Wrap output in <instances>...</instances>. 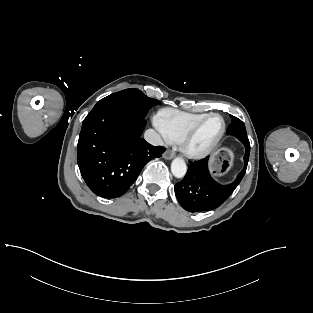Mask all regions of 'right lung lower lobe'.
<instances>
[{"instance_id": "1", "label": "right lung lower lobe", "mask_w": 313, "mask_h": 313, "mask_svg": "<svg viewBox=\"0 0 313 313\" xmlns=\"http://www.w3.org/2000/svg\"><path fill=\"white\" fill-rule=\"evenodd\" d=\"M146 120L120 107L91 111L84 119L77 145V161L88 187L103 198L127 192L141 169L165 148L141 138Z\"/></svg>"}]
</instances>
